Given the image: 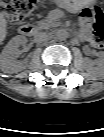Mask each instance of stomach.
<instances>
[{"instance_id":"obj_1","label":"stomach","mask_w":104,"mask_h":137,"mask_svg":"<svg viewBox=\"0 0 104 137\" xmlns=\"http://www.w3.org/2000/svg\"><path fill=\"white\" fill-rule=\"evenodd\" d=\"M62 7L72 10L82 6L81 0H56Z\"/></svg>"}]
</instances>
